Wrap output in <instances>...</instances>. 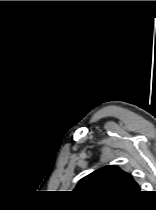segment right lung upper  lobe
<instances>
[{
	"label": "right lung upper lobe",
	"mask_w": 156,
	"mask_h": 210,
	"mask_svg": "<svg viewBox=\"0 0 156 210\" xmlns=\"http://www.w3.org/2000/svg\"><path fill=\"white\" fill-rule=\"evenodd\" d=\"M75 191L89 197L127 198L140 192L133 177L117 166H105L82 178Z\"/></svg>",
	"instance_id": "1"
}]
</instances>
